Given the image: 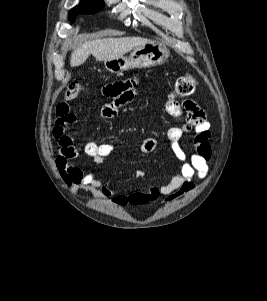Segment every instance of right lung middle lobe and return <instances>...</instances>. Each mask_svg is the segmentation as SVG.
<instances>
[{
	"mask_svg": "<svg viewBox=\"0 0 267 301\" xmlns=\"http://www.w3.org/2000/svg\"><path fill=\"white\" fill-rule=\"evenodd\" d=\"M104 7L102 0H80L78 6L71 9L69 20L74 21L75 17L79 14H93Z\"/></svg>",
	"mask_w": 267,
	"mask_h": 301,
	"instance_id": "right-lung-middle-lobe-1",
	"label": "right lung middle lobe"
}]
</instances>
